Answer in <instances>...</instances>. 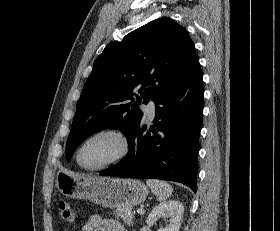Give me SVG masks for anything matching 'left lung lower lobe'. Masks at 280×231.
Returning a JSON list of instances; mask_svg holds the SVG:
<instances>
[{
  "instance_id": "left-lung-lower-lobe-1",
  "label": "left lung lower lobe",
  "mask_w": 280,
  "mask_h": 231,
  "mask_svg": "<svg viewBox=\"0 0 280 231\" xmlns=\"http://www.w3.org/2000/svg\"><path fill=\"white\" fill-rule=\"evenodd\" d=\"M201 68L155 100L153 130L143 121L128 138L129 152L100 172L124 178H155L187 185L196 193L199 135L203 116ZM152 128V127H151Z\"/></svg>"
}]
</instances>
